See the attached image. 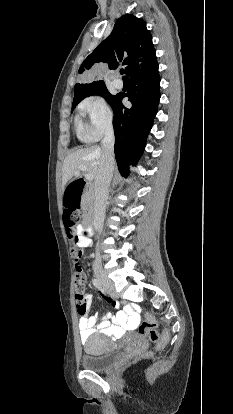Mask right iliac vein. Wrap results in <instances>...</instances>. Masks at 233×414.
I'll use <instances>...</instances> for the list:
<instances>
[{
  "instance_id": "obj_1",
  "label": "right iliac vein",
  "mask_w": 233,
  "mask_h": 414,
  "mask_svg": "<svg viewBox=\"0 0 233 414\" xmlns=\"http://www.w3.org/2000/svg\"><path fill=\"white\" fill-rule=\"evenodd\" d=\"M95 275L102 284L105 291L109 294H115V288L112 281L106 276V274L101 269L95 270Z\"/></svg>"
}]
</instances>
